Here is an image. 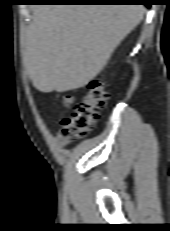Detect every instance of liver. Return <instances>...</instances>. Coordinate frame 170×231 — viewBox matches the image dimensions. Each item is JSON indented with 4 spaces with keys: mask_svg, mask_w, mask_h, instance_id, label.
<instances>
[{
    "mask_svg": "<svg viewBox=\"0 0 170 231\" xmlns=\"http://www.w3.org/2000/svg\"><path fill=\"white\" fill-rule=\"evenodd\" d=\"M144 13L143 5H37L22 39L33 86L44 93L86 86Z\"/></svg>",
    "mask_w": 170,
    "mask_h": 231,
    "instance_id": "liver-1",
    "label": "liver"
}]
</instances>
